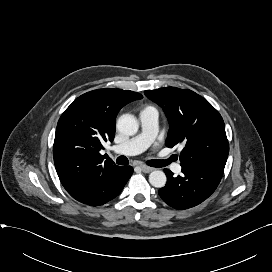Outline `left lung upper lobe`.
Returning <instances> with one entry per match:
<instances>
[{
    "label": "left lung upper lobe",
    "instance_id": "left-lung-upper-lobe-1",
    "mask_svg": "<svg viewBox=\"0 0 272 272\" xmlns=\"http://www.w3.org/2000/svg\"><path fill=\"white\" fill-rule=\"evenodd\" d=\"M145 95L161 106L170 128L166 146L181 144V166L225 167L229 144L224 121L203 97L176 87L146 90Z\"/></svg>",
    "mask_w": 272,
    "mask_h": 272
}]
</instances>
